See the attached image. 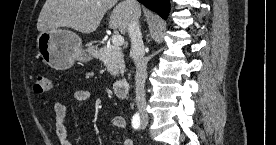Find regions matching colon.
<instances>
[{
  "label": "colon",
  "mask_w": 276,
  "mask_h": 145,
  "mask_svg": "<svg viewBox=\"0 0 276 145\" xmlns=\"http://www.w3.org/2000/svg\"><path fill=\"white\" fill-rule=\"evenodd\" d=\"M33 90L37 94H43L52 90V82L48 75L44 73H38L35 76Z\"/></svg>",
  "instance_id": "colon-1"
}]
</instances>
